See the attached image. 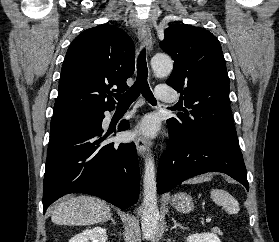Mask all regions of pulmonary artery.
Masks as SVG:
<instances>
[{"label":"pulmonary artery","mask_w":279,"mask_h":242,"mask_svg":"<svg viewBox=\"0 0 279 242\" xmlns=\"http://www.w3.org/2000/svg\"><path fill=\"white\" fill-rule=\"evenodd\" d=\"M156 97L166 103H173L176 100L172 87L169 85H158L156 87Z\"/></svg>","instance_id":"e3ab8cb5"}]
</instances>
